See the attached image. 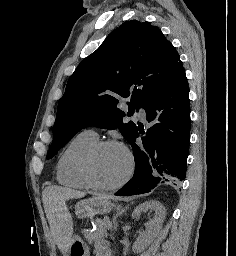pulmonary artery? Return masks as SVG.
Here are the masks:
<instances>
[{
    "label": "pulmonary artery",
    "mask_w": 236,
    "mask_h": 256,
    "mask_svg": "<svg viewBox=\"0 0 236 256\" xmlns=\"http://www.w3.org/2000/svg\"><path fill=\"white\" fill-rule=\"evenodd\" d=\"M139 117L142 119V120H145L146 117H147V113L145 111L144 108L140 107L139 108ZM89 134L93 135V136H98L95 129L94 128H89L88 130H86Z\"/></svg>",
    "instance_id": "pulmonary-artery-1"
}]
</instances>
